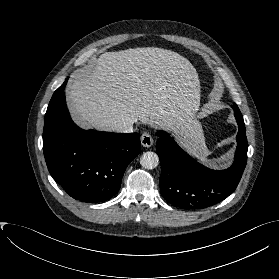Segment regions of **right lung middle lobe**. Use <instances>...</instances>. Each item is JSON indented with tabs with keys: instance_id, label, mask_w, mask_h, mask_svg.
Segmentation results:
<instances>
[{
	"instance_id": "obj_1",
	"label": "right lung middle lobe",
	"mask_w": 279,
	"mask_h": 279,
	"mask_svg": "<svg viewBox=\"0 0 279 279\" xmlns=\"http://www.w3.org/2000/svg\"><path fill=\"white\" fill-rule=\"evenodd\" d=\"M61 87V86H60ZM60 87L55 91V93L53 94V96H52V98H51V100H50V103H49V106L50 105H52V104H54L57 100H58V98H59V92H60Z\"/></svg>"
}]
</instances>
